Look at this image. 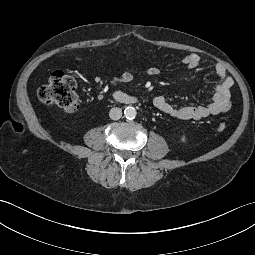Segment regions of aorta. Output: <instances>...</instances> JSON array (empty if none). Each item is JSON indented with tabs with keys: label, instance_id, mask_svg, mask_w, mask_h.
I'll use <instances>...</instances> for the list:
<instances>
[{
	"label": "aorta",
	"instance_id": "1",
	"mask_svg": "<svg viewBox=\"0 0 255 255\" xmlns=\"http://www.w3.org/2000/svg\"><path fill=\"white\" fill-rule=\"evenodd\" d=\"M124 115L127 119H134L137 115V111L134 107L128 106L124 110Z\"/></svg>",
	"mask_w": 255,
	"mask_h": 255
}]
</instances>
